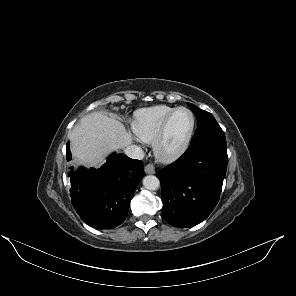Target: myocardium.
<instances>
[{
	"mask_svg": "<svg viewBox=\"0 0 296 296\" xmlns=\"http://www.w3.org/2000/svg\"><path fill=\"white\" fill-rule=\"evenodd\" d=\"M182 110L189 112V114L191 115V118H192L191 128H190L187 136L185 137L184 141L181 143V145L178 148H176L175 150H172V151H165V150H163V142L165 140L168 127H169L173 117L179 111H182ZM195 127H196V117H195V114L189 108H187V107L175 108L168 115V117L165 119V121L163 122V124H162V126H161V128H160V130L153 142V149H154V153H155V156L157 157V159L162 162H172V161L177 160L179 157H181L190 145V142L192 140V137H193V134L195 131Z\"/></svg>",
	"mask_w": 296,
	"mask_h": 296,
	"instance_id": "myocardium-1",
	"label": "myocardium"
}]
</instances>
